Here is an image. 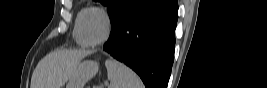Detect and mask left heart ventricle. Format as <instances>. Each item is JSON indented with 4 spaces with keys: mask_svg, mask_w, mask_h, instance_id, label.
<instances>
[{
    "mask_svg": "<svg viewBox=\"0 0 267 88\" xmlns=\"http://www.w3.org/2000/svg\"><path fill=\"white\" fill-rule=\"evenodd\" d=\"M106 24L102 16L91 13L87 16L84 24V32L88 41L97 42L105 34Z\"/></svg>",
    "mask_w": 267,
    "mask_h": 88,
    "instance_id": "b2bd125f",
    "label": "left heart ventricle"
}]
</instances>
